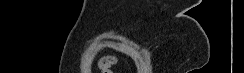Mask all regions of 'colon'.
Listing matches in <instances>:
<instances>
[{"label":"colon","mask_w":244,"mask_h":73,"mask_svg":"<svg viewBox=\"0 0 244 73\" xmlns=\"http://www.w3.org/2000/svg\"><path fill=\"white\" fill-rule=\"evenodd\" d=\"M117 59L113 55H106L100 58L99 60V70L100 73H111V69L116 64Z\"/></svg>","instance_id":"colon-1"}]
</instances>
